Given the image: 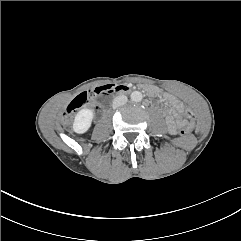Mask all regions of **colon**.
Instances as JSON below:
<instances>
[{
    "label": "colon",
    "instance_id": "5ec220e1",
    "mask_svg": "<svg viewBox=\"0 0 241 241\" xmlns=\"http://www.w3.org/2000/svg\"><path fill=\"white\" fill-rule=\"evenodd\" d=\"M109 89V86H102L81 93L67 107L64 113V122H69V120L71 119V115L77 109H79L95 97L99 96L100 94L107 92ZM185 116L187 118V125L184 129L181 130V134L187 136L190 134V132H194L196 130V119L194 118V114L191 110H186Z\"/></svg>",
    "mask_w": 241,
    "mask_h": 241
}]
</instances>
